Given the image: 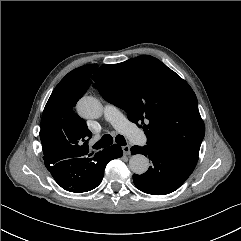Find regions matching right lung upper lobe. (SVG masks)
<instances>
[{"mask_svg":"<svg viewBox=\"0 0 241 241\" xmlns=\"http://www.w3.org/2000/svg\"><path fill=\"white\" fill-rule=\"evenodd\" d=\"M97 64L68 73L53 90L42 114L40 139L44 159L61 160L89 153L91 132L73 107L91 84Z\"/></svg>","mask_w":241,"mask_h":241,"instance_id":"right-lung-upper-lobe-1","label":"right lung upper lobe"}]
</instances>
